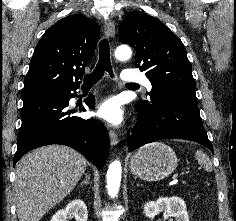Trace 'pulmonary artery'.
I'll return each instance as SVG.
<instances>
[{"label": "pulmonary artery", "instance_id": "1", "mask_svg": "<svg viewBox=\"0 0 236 221\" xmlns=\"http://www.w3.org/2000/svg\"><path fill=\"white\" fill-rule=\"evenodd\" d=\"M122 79L127 82L140 83L146 87L147 90L152 89L151 82L142 74H136L131 70H124L121 75Z\"/></svg>", "mask_w": 236, "mask_h": 221}]
</instances>
